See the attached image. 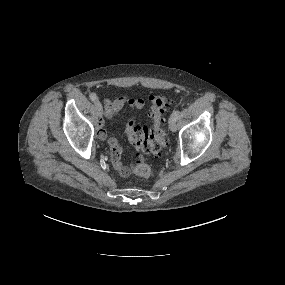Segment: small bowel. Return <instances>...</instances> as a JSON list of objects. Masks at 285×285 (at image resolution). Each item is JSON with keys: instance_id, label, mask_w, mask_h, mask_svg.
<instances>
[{"instance_id": "1", "label": "small bowel", "mask_w": 285, "mask_h": 285, "mask_svg": "<svg viewBox=\"0 0 285 285\" xmlns=\"http://www.w3.org/2000/svg\"><path fill=\"white\" fill-rule=\"evenodd\" d=\"M124 106H130L132 108L141 109L145 106V101L142 98H131L127 95H121L114 100L105 99L104 107L105 113L104 117L107 119L114 118ZM97 137L101 140H108L111 148V162L113 168L123 177H126L130 173V169L125 166L121 161L122 150L113 137L108 138L106 130L100 125L97 129Z\"/></svg>"}]
</instances>
